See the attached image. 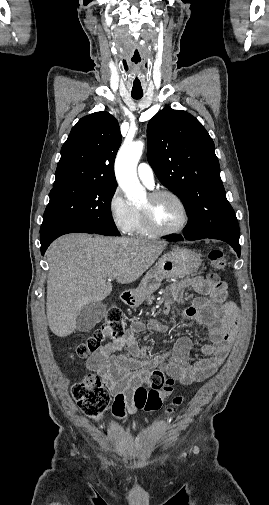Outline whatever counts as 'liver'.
Instances as JSON below:
<instances>
[{
  "label": "liver",
  "instance_id": "1",
  "mask_svg": "<svg viewBox=\"0 0 269 505\" xmlns=\"http://www.w3.org/2000/svg\"><path fill=\"white\" fill-rule=\"evenodd\" d=\"M163 247L155 240L129 237L75 233L58 238L46 251L50 330L59 337L73 333L81 309L111 293L108 277L114 275L121 284L136 281L154 264Z\"/></svg>",
  "mask_w": 269,
  "mask_h": 505
}]
</instances>
